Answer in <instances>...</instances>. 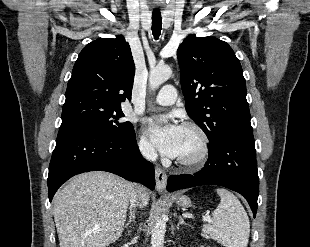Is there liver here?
Wrapping results in <instances>:
<instances>
[{"mask_svg": "<svg viewBox=\"0 0 310 247\" xmlns=\"http://www.w3.org/2000/svg\"><path fill=\"white\" fill-rule=\"evenodd\" d=\"M132 184L114 174L94 171L69 180L53 199L60 247H106L121 236ZM142 205L145 188L137 189Z\"/></svg>", "mask_w": 310, "mask_h": 247, "instance_id": "obj_1", "label": "liver"}]
</instances>
